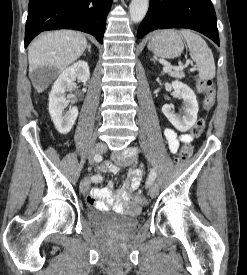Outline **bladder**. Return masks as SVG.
Instances as JSON below:
<instances>
[{"instance_id": "31cf9c89", "label": "bladder", "mask_w": 247, "mask_h": 275, "mask_svg": "<svg viewBox=\"0 0 247 275\" xmlns=\"http://www.w3.org/2000/svg\"><path fill=\"white\" fill-rule=\"evenodd\" d=\"M113 214L111 211L105 209L90 210L88 212V221L95 226H109L114 225L124 229H130L138 223V211H131L121 215L118 219L108 218V215Z\"/></svg>"}]
</instances>
